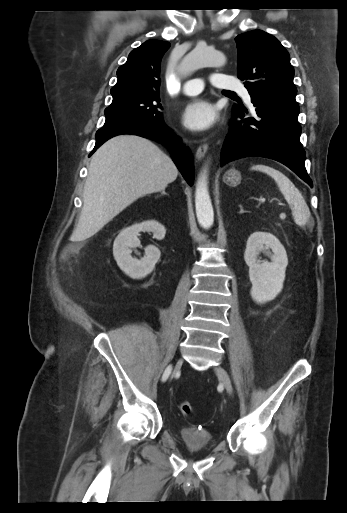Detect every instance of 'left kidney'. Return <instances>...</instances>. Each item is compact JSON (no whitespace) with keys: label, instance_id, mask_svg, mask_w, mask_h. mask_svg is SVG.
Here are the masks:
<instances>
[{"label":"left kidney","instance_id":"obj_1","mask_svg":"<svg viewBox=\"0 0 347 513\" xmlns=\"http://www.w3.org/2000/svg\"><path fill=\"white\" fill-rule=\"evenodd\" d=\"M271 249L272 262L257 261L260 252ZM252 283L251 296L257 303L273 300L282 290L288 265L287 253L281 242L268 232H254L247 240L244 252Z\"/></svg>","mask_w":347,"mask_h":513}]
</instances>
